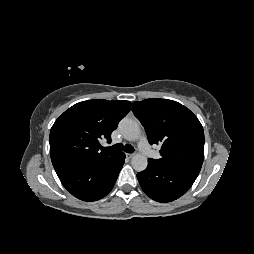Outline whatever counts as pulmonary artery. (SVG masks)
<instances>
[{
	"label": "pulmonary artery",
	"mask_w": 254,
	"mask_h": 254,
	"mask_svg": "<svg viewBox=\"0 0 254 254\" xmlns=\"http://www.w3.org/2000/svg\"><path fill=\"white\" fill-rule=\"evenodd\" d=\"M138 148L139 150L143 153V154H146V155H153L155 154L150 145L148 144L147 142V139L144 137V136H141L140 139H139V142H138Z\"/></svg>",
	"instance_id": "pulmonary-artery-1"
}]
</instances>
